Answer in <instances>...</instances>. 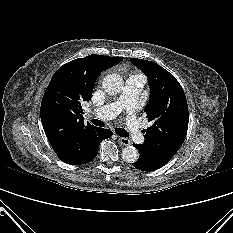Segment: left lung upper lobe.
<instances>
[{"instance_id":"left-lung-upper-lobe-1","label":"left lung upper lobe","mask_w":233,"mask_h":233,"mask_svg":"<svg viewBox=\"0 0 233 233\" xmlns=\"http://www.w3.org/2000/svg\"><path fill=\"white\" fill-rule=\"evenodd\" d=\"M130 61L146 74L150 85L145 112L153 125L144 131L142 146L169 161L187 134L189 114L185 93L176 78L160 65L143 59Z\"/></svg>"}]
</instances>
